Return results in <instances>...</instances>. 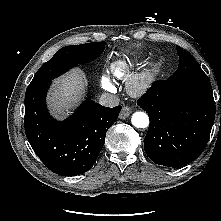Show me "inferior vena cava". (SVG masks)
Instances as JSON below:
<instances>
[{
	"mask_svg": "<svg viewBox=\"0 0 221 221\" xmlns=\"http://www.w3.org/2000/svg\"><path fill=\"white\" fill-rule=\"evenodd\" d=\"M119 98L110 93H103L100 97L99 103L106 107H115L119 105Z\"/></svg>",
	"mask_w": 221,
	"mask_h": 221,
	"instance_id": "1",
	"label": "inferior vena cava"
}]
</instances>
